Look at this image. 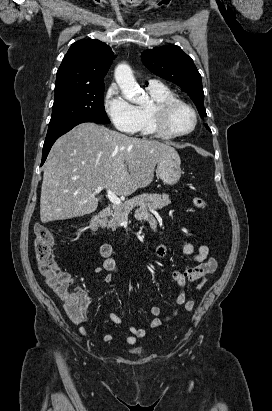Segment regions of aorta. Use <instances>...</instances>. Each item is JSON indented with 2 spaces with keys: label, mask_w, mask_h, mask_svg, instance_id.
<instances>
[{
  "label": "aorta",
  "mask_w": 272,
  "mask_h": 411,
  "mask_svg": "<svg viewBox=\"0 0 272 411\" xmlns=\"http://www.w3.org/2000/svg\"><path fill=\"white\" fill-rule=\"evenodd\" d=\"M114 76L125 99L136 104H141L144 101L145 93L137 84L129 65L119 64L115 69Z\"/></svg>",
  "instance_id": "762f6f07"
}]
</instances>
